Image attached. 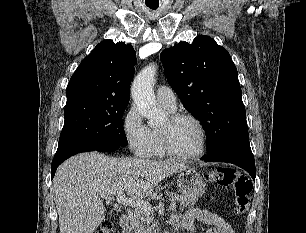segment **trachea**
Returning a JSON list of instances; mask_svg holds the SVG:
<instances>
[{
  "instance_id": "trachea-1",
  "label": "trachea",
  "mask_w": 306,
  "mask_h": 233,
  "mask_svg": "<svg viewBox=\"0 0 306 233\" xmlns=\"http://www.w3.org/2000/svg\"><path fill=\"white\" fill-rule=\"evenodd\" d=\"M149 8L155 10L159 7V4H146Z\"/></svg>"
}]
</instances>
